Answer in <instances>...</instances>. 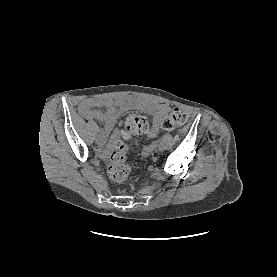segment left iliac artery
<instances>
[{"label": "left iliac artery", "mask_w": 277, "mask_h": 277, "mask_svg": "<svg viewBox=\"0 0 277 277\" xmlns=\"http://www.w3.org/2000/svg\"><path fill=\"white\" fill-rule=\"evenodd\" d=\"M170 141V137L169 136H164L160 142H163V143H168Z\"/></svg>", "instance_id": "left-iliac-artery-1"}]
</instances>
